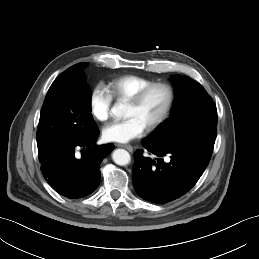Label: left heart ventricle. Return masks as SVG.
Here are the masks:
<instances>
[{
	"label": "left heart ventricle",
	"mask_w": 259,
	"mask_h": 259,
	"mask_svg": "<svg viewBox=\"0 0 259 259\" xmlns=\"http://www.w3.org/2000/svg\"><path fill=\"white\" fill-rule=\"evenodd\" d=\"M165 102V91L161 88L153 89L139 106L128 104L125 116L135 117L147 127L160 115Z\"/></svg>",
	"instance_id": "left-heart-ventricle-1"
}]
</instances>
